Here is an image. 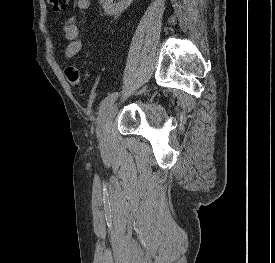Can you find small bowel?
<instances>
[{"mask_svg":"<svg viewBox=\"0 0 275 263\" xmlns=\"http://www.w3.org/2000/svg\"><path fill=\"white\" fill-rule=\"evenodd\" d=\"M77 6L81 10H86L91 6V0H77ZM63 31L68 41L65 49V57L71 59L79 54L84 47V43L80 38V30L74 17L69 18L65 22ZM83 64L89 69L93 68V66L86 61Z\"/></svg>","mask_w":275,"mask_h":263,"instance_id":"obj_1","label":"small bowel"}]
</instances>
